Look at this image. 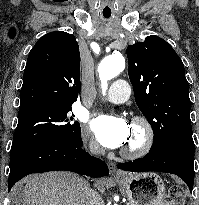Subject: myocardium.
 Wrapping results in <instances>:
<instances>
[{"label": "myocardium", "instance_id": "obj_1", "mask_svg": "<svg viewBox=\"0 0 199 205\" xmlns=\"http://www.w3.org/2000/svg\"><path fill=\"white\" fill-rule=\"evenodd\" d=\"M132 126L139 128L141 132L140 141L132 147H125L121 154L128 159H136L148 154L155 143V131L150 121L143 116H135Z\"/></svg>", "mask_w": 199, "mask_h": 205}]
</instances>
